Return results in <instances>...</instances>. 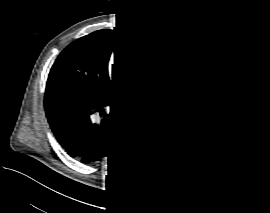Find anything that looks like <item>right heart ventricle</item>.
<instances>
[{"instance_id":"1","label":"right heart ventricle","mask_w":270,"mask_h":213,"mask_svg":"<svg viewBox=\"0 0 270 213\" xmlns=\"http://www.w3.org/2000/svg\"><path fill=\"white\" fill-rule=\"evenodd\" d=\"M153 46L154 48H156L155 50H159V48L163 46V41L156 39L155 41H153Z\"/></svg>"}]
</instances>
